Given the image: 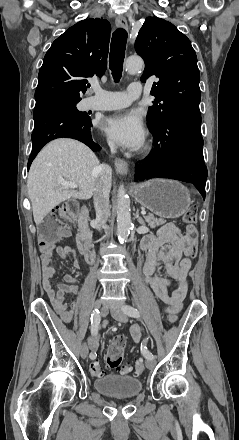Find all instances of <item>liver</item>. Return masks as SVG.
<instances>
[{
    "mask_svg": "<svg viewBox=\"0 0 239 440\" xmlns=\"http://www.w3.org/2000/svg\"><path fill=\"white\" fill-rule=\"evenodd\" d=\"M98 166L100 162L92 150L77 140L58 138L49 142L35 158L27 180L36 226L61 202L70 198L90 200L94 196ZM58 178L75 182L79 192L62 188Z\"/></svg>",
    "mask_w": 239,
    "mask_h": 440,
    "instance_id": "1",
    "label": "liver"
}]
</instances>
